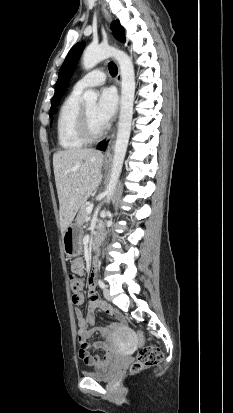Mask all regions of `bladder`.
I'll return each instance as SVG.
<instances>
[{
	"label": "bladder",
	"instance_id": "1",
	"mask_svg": "<svg viewBox=\"0 0 233 413\" xmlns=\"http://www.w3.org/2000/svg\"><path fill=\"white\" fill-rule=\"evenodd\" d=\"M83 375L97 381H109L114 375V370L112 367H105L95 371H83Z\"/></svg>",
	"mask_w": 233,
	"mask_h": 413
}]
</instances>
